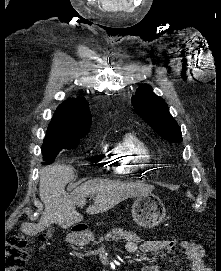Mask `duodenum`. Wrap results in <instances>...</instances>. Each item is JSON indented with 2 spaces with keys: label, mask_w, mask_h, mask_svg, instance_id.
<instances>
[{
  "label": "duodenum",
  "mask_w": 221,
  "mask_h": 271,
  "mask_svg": "<svg viewBox=\"0 0 221 271\" xmlns=\"http://www.w3.org/2000/svg\"><path fill=\"white\" fill-rule=\"evenodd\" d=\"M87 242L88 237L86 232L83 230L75 231L70 238V243L75 246H81L86 244Z\"/></svg>",
  "instance_id": "obj_1"
}]
</instances>
